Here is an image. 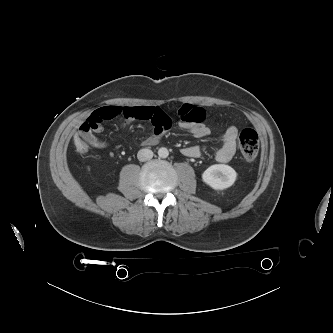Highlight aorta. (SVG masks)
<instances>
[{
    "mask_svg": "<svg viewBox=\"0 0 333 333\" xmlns=\"http://www.w3.org/2000/svg\"><path fill=\"white\" fill-rule=\"evenodd\" d=\"M168 155H169V151H168L167 148H165V147L159 148V150H158V156L160 158H167Z\"/></svg>",
    "mask_w": 333,
    "mask_h": 333,
    "instance_id": "1",
    "label": "aorta"
}]
</instances>
